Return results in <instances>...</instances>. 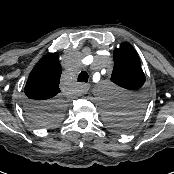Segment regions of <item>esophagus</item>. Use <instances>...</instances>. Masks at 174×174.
<instances>
[{
	"instance_id": "34e87169",
	"label": "esophagus",
	"mask_w": 174,
	"mask_h": 174,
	"mask_svg": "<svg viewBox=\"0 0 174 174\" xmlns=\"http://www.w3.org/2000/svg\"><path fill=\"white\" fill-rule=\"evenodd\" d=\"M81 88H82V91L84 93H86L89 90L90 85L89 84H82Z\"/></svg>"
}]
</instances>
